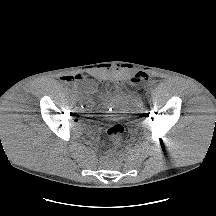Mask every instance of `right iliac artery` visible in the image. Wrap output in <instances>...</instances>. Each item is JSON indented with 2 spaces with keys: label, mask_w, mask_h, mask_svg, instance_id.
<instances>
[{
  "label": "right iliac artery",
  "mask_w": 216,
  "mask_h": 216,
  "mask_svg": "<svg viewBox=\"0 0 216 216\" xmlns=\"http://www.w3.org/2000/svg\"><path fill=\"white\" fill-rule=\"evenodd\" d=\"M70 92H71L72 94H75V93H76V90H75L74 88H71V89H70Z\"/></svg>",
  "instance_id": "82829eb1"
}]
</instances>
